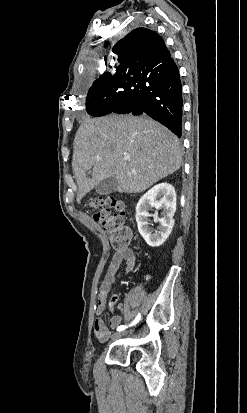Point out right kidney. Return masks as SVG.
Returning <instances> with one entry per match:
<instances>
[{
  "label": "right kidney",
  "instance_id": "ca27d5eb",
  "mask_svg": "<svg viewBox=\"0 0 247 413\" xmlns=\"http://www.w3.org/2000/svg\"><path fill=\"white\" fill-rule=\"evenodd\" d=\"M152 207L163 209L161 217L150 215ZM176 211V192L169 182H160L147 190L136 204V223L138 231L149 247H160L169 237L174 225ZM148 217H154L155 223H160L158 231H153Z\"/></svg>",
  "mask_w": 247,
  "mask_h": 413
}]
</instances>
